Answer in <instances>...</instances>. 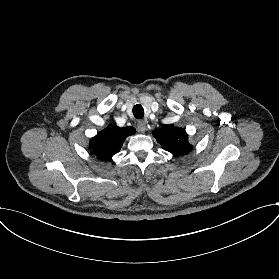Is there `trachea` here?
<instances>
[{"label": "trachea", "instance_id": "1", "mask_svg": "<svg viewBox=\"0 0 279 279\" xmlns=\"http://www.w3.org/2000/svg\"><path fill=\"white\" fill-rule=\"evenodd\" d=\"M133 114L135 118L141 119L144 116V109L141 105L137 104L133 107Z\"/></svg>", "mask_w": 279, "mask_h": 279}]
</instances>
